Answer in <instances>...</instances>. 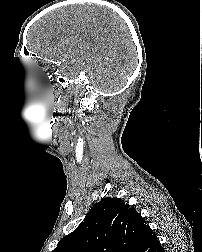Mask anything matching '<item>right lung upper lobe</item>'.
Listing matches in <instances>:
<instances>
[{
	"label": "right lung upper lobe",
	"mask_w": 202,
	"mask_h": 252,
	"mask_svg": "<svg viewBox=\"0 0 202 252\" xmlns=\"http://www.w3.org/2000/svg\"><path fill=\"white\" fill-rule=\"evenodd\" d=\"M160 243L133 207L119 198L96 203L53 252H156Z\"/></svg>",
	"instance_id": "1"
}]
</instances>
